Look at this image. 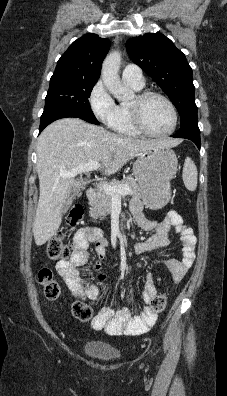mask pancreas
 <instances>
[{"label":"pancreas","instance_id":"obj_1","mask_svg":"<svg viewBox=\"0 0 227 396\" xmlns=\"http://www.w3.org/2000/svg\"><path fill=\"white\" fill-rule=\"evenodd\" d=\"M113 186H128L131 189L130 195L133 198L141 197V189L136 180L128 176L121 181H114L111 183ZM123 196V195H120ZM112 199L113 196L107 194L102 188L97 190V196L94 202H91V208L89 214L92 218L104 217L109 214L112 210Z\"/></svg>","mask_w":227,"mask_h":396}]
</instances>
